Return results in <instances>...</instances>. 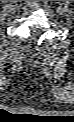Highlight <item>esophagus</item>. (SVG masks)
<instances>
[{
    "instance_id": "34e87169",
    "label": "esophagus",
    "mask_w": 74,
    "mask_h": 122,
    "mask_svg": "<svg viewBox=\"0 0 74 122\" xmlns=\"http://www.w3.org/2000/svg\"><path fill=\"white\" fill-rule=\"evenodd\" d=\"M27 6L29 8H35L37 6L36 1H27Z\"/></svg>"
}]
</instances>
